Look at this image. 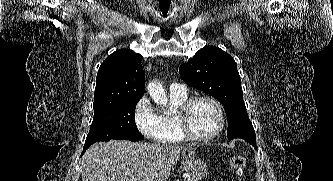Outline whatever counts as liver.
Masks as SVG:
<instances>
[{
  "label": "liver",
  "instance_id": "1",
  "mask_svg": "<svg viewBox=\"0 0 333 181\" xmlns=\"http://www.w3.org/2000/svg\"><path fill=\"white\" fill-rule=\"evenodd\" d=\"M193 147L111 140L93 144L81 159L82 181H167L180 153Z\"/></svg>",
  "mask_w": 333,
  "mask_h": 181
}]
</instances>
